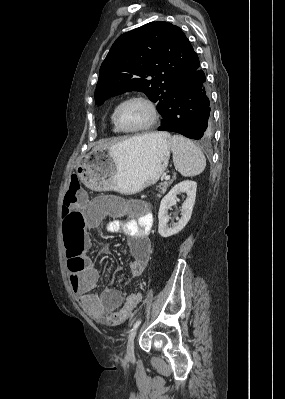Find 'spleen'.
<instances>
[{"label": "spleen", "mask_w": 285, "mask_h": 399, "mask_svg": "<svg viewBox=\"0 0 285 399\" xmlns=\"http://www.w3.org/2000/svg\"><path fill=\"white\" fill-rule=\"evenodd\" d=\"M171 150L175 168L184 177L202 173L206 167V158L202 150L190 139L182 135L171 138Z\"/></svg>", "instance_id": "spleen-1"}]
</instances>
